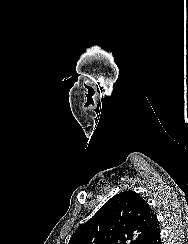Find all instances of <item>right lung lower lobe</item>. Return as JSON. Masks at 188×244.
Instances as JSON below:
<instances>
[{"label":"right lung lower lobe","mask_w":188,"mask_h":244,"mask_svg":"<svg viewBox=\"0 0 188 244\" xmlns=\"http://www.w3.org/2000/svg\"><path fill=\"white\" fill-rule=\"evenodd\" d=\"M146 244H162L159 227L152 233L151 237L149 238Z\"/></svg>","instance_id":"1"}]
</instances>
